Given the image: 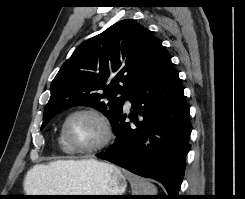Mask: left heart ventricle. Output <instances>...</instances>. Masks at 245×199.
Wrapping results in <instances>:
<instances>
[{
  "mask_svg": "<svg viewBox=\"0 0 245 199\" xmlns=\"http://www.w3.org/2000/svg\"><path fill=\"white\" fill-rule=\"evenodd\" d=\"M68 134L72 142L80 148L97 145L103 139L102 125L91 115H77L68 124Z\"/></svg>",
  "mask_w": 245,
  "mask_h": 199,
  "instance_id": "b2bd125f",
  "label": "left heart ventricle"
}]
</instances>
